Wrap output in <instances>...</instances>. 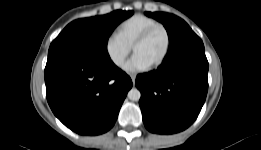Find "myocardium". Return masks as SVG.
<instances>
[{
	"label": "myocardium",
	"mask_w": 261,
	"mask_h": 150,
	"mask_svg": "<svg viewBox=\"0 0 261 150\" xmlns=\"http://www.w3.org/2000/svg\"><path fill=\"white\" fill-rule=\"evenodd\" d=\"M158 29H161L165 34L166 47H165L164 53L160 57V59L150 66L153 69L160 67L166 61V59L169 55L170 48H171V36H170V32H169L168 28L161 23L152 25L149 28H147L142 34H140L139 37L135 40V42L132 45V50H133V52H135V49L140 44L144 43Z\"/></svg>",
	"instance_id": "myocardium-1"
}]
</instances>
